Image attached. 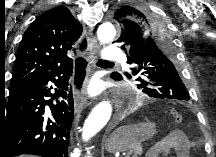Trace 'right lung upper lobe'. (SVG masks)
Here are the masks:
<instances>
[{
    "label": "right lung upper lobe",
    "instance_id": "1",
    "mask_svg": "<svg viewBox=\"0 0 216 157\" xmlns=\"http://www.w3.org/2000/svg\"><path fill=\"white\" fill-rule=\"evenodd\" d=\"M81 33V25L67 7L57 6L39 16L20 42L10 90L72 63L67 51Z\"/></svg>",
    "mask_w": 216,
    "mask_h": 157
}]
</instances>
